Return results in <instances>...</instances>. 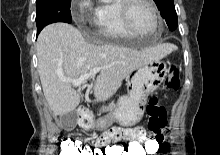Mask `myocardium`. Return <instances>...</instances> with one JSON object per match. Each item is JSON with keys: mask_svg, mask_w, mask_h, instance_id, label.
Here are the masks:
<instances>
[{"mask_svg": "<svg viewBox=\"0 0 220 155\" xmlns=\"http://www.w3.org/2000/svg\"><path fill=\"white\" fill-rule=\"evenodd\" d=\"M135 3H144L151 10V12L154 16V19H155V23H156L155 29L152 32L143 33V32L136 30L135 27L133 26V24L131 22V17H130V11H131L133 4H135ZM120 13H121V18H122L124 26L133 35L148 36V35L158 33L162 28L161 17H160L159 12H158V10L152 0H121Z\"/></svg>", "mask_w": 220, "mask_h": 155, "instance_id": "1", "label": "myocardium"}]
</instances>
